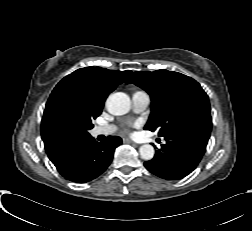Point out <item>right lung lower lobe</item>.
<instances>
[{
	"instance_id": "1",
	"label": "right lung lower lobe",
	"mask_w": 252,
	"mask_h": 231,
	"mask_svg": "<svg viewBox=\"0 0 252 231\" xmlns=\"http://www.w3.org/2000/svg\"><path fill=\"white\" fill-rule=\"evenodd\" d=\"M122 143L118 136H109L106 142H96L91 135L74 139L59 151L51 161L67 180L85 183L102 174L112 161L114 151Z\"/></svg>"
}]
</instances>
